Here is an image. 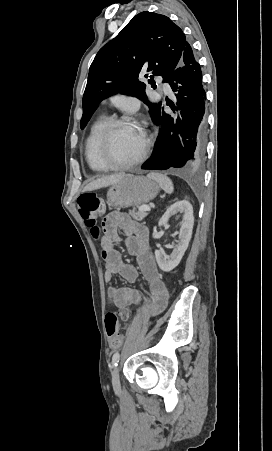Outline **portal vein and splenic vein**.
<instances>
[{
    "instance_id": "18ae733b",
    "label": "portal vein and splenic vein",
    "mask_w": 272,
    "mask_h": 451,
    "mask_svg": "<svg viewBox=\"0 0 272 451\" xmlns=\"http://www.w3.org/2000/svg\"><path fill=\"white\" fill-rule=\"evenodd\" d=\"M150 206H140L139 212H150Z\"/></svg>"
}]
</instances>
